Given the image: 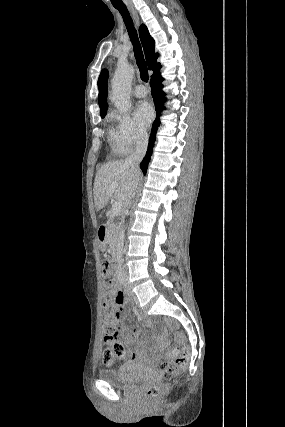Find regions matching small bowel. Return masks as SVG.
<instances>
[{
	"instance_id": "small-bowel-1",
	"label": "small bowel",
	"mask_w": 285,
	"mask_h": 427,
	"mask_svg": "<svg viewBox=\"0 0 285 427\" xmlns=\"http://www.w3.org/2000/svg\"><path fill=\"white\" fill-rule=\"evenodd\" d=\"M120 311L116 316V324L119 327L120 335L124 340L126 350L117 358L119 361H133L136 363H148L149 356L156 354L157 351L151 349H141L140 342L136 339L139 332L138 327L135 325L133 330L128 329L124 322L130 307L129 302L122 292L117 295Z\"/></svg>"
}]
</instances>
